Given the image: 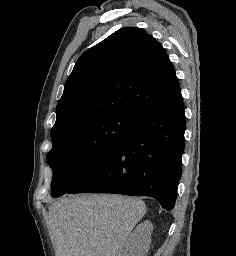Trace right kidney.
Listing matches in <instances>:
<instances>
[{"instance_id":"1","label":"right kidney","mask_w":236,"mask_h":256,"mask_svg":"<svg viewBox=\"0 0 236 256\" xmlns=\"http://www.w3.org/2000/svg\"><path fill=\"white\" fill-rule=\"evenodd\" d=\"M152 232L153 224L149 220L139 224L130 234L126 244L127 256H147L148 250H150Z\"/></svg>"}]
</instances>
